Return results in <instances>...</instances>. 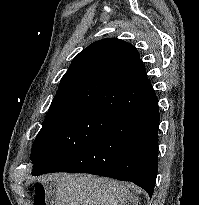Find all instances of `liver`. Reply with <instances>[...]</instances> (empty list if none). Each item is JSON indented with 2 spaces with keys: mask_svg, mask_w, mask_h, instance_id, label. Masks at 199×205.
<instances>
[{
  "mask_svg": "<svg viewBox=\"0 0 199 205\" xmlns=\"http://www.w3.org/2000/svg\"><path fill=\"white\" fill-rule=\"evenodd\" d=\"M56 205H129L136 203L129 186L112 179L84 174H54Z\"/></svg>",
  "mask_w": 199,
  "mask_h": 205,
  "instance_id": "obj_1",
  "label": "liver"
}]
</instances>
